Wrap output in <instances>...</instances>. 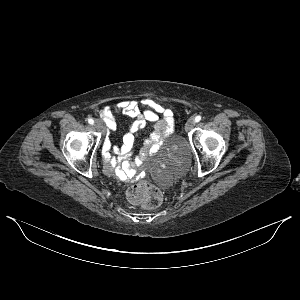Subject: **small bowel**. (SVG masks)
<instances>
[{"mask_svg": "<svg viewBox=\"0 0 300 300\" xmlns=\"http://www.w3.org/2000/svg\"><path fill=\"white\" fill-rule=\"evenodd\" d=\"M116 113L127 115L134 120L129 125L121 145H114L109 140L105 141L104 169L111 175L121 173L130 176L134 167L141 165L149 156L155 154L164 137L172 133L173 113L151 98H144L140 101L123 100L114 108L104 106L100 109V115L109 132L117 129ZM148 123H154V130L145 140L139 154L133 161H130L128 158L134 148L136 136Z\"/></svg>", "mask_w": 300, "mask_h": 300, "instance_id": "c3829d8e", "label": "small bowel"}]
</instances>
